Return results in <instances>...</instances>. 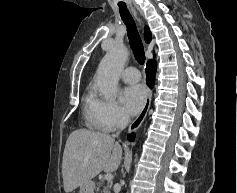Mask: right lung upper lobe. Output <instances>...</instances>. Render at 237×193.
I'll use <instances>...</instances> for the list:
<instances>
[{"label":"right lung upper lobe","mask_w":237,"mask_h":193,"mask_svg":"<svg viewBox=\"0 0 237 193\" xmlns=\"http://www.w3.org/2000/svg\"><path fill=\"white\" fill-rule=\"evenodd\" d=\"M145 40L146 42H150L151 40V32L147 26L145 27Z\"/></svg>","instance_id":"1"}]
</instances>
